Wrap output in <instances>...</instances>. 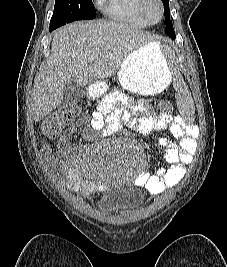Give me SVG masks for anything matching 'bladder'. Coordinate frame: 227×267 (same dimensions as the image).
<instances>
[{
  "instance_id": "obj_1",
  "label": "bladder",
  "mask_w": 227,
  "mask_h": 267,
  "mask_svg": "<svg viewBox=\"0 0 227 267\" xmlns=\"http://www.w3.org/2000/svg\"><path fill=\"white\" fill-rule=\"evenodd\" d=\"M117 191L124 194L118 195ZM125 192H128V189L125 187L119 188L116 191H105L104 196L97 201L96 207L108 215H121L134 211L141 206L143 203L142 197L137 193L125 194Z\"/></svg>"
}]
</instances>
